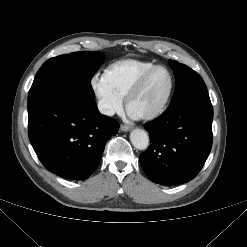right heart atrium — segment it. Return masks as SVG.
<instances>
[{
    "label": "right heart atrium",
    "instance_id": "obj_1",
    "mask_svg": "<svg viewBox=\"0 0 247 247\" xmlns=\"http://www.w3.org/2000/svg\"><path fill=\"white\" fill-rule=\"evenodd\" d=\"M91 87L97 97L99 110L106 116L119 113L123 107V97L114 89L106 73L95 74Z\"/></svg>",
    "mask_w": 247,
    "mask_h": 247
}]
</instances>
